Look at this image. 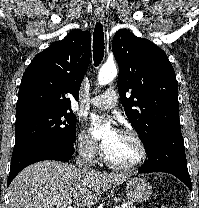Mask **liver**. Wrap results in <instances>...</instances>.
I'll return each instance as SVG.
<instances>
[{
	"instance_id": "1",
	"label": "liver",
	"mask_w": 199,
	"mask_h": 208,
	"mask_svg": "<svg viewBox=\"0 0 199 208\" xmlns=\"http://www.w3.org/2000/svg\"><path fill=\"white\" fill-rule=\"evenodd\" d=\"M127 179L123 174L85 171L68 163L41 161L14 178L8 192L9 208H54L69 200L76 208L91 207L112 185H120Z\"/></svg>"
}]
</instances>
